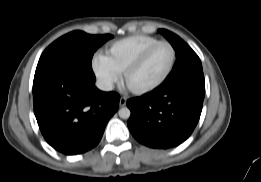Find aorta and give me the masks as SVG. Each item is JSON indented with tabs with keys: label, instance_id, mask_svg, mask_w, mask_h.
Listing matches in <instances>:
<instances>
[{
	"label": "aorta",
	"instance_id": "762f6f07",
	"mask_svg": "<svg viewBox=\"0 0 261 182\" xmlns=\"http://www.w3.org/2000/svg\"><path fill=\"white\" fill-rule=\"evenodd\" d=\"M119 117L122 119H128L131 115L129 108L123 107L119 110Z\"/></svg>",
	"mask_w": 261,
	"mask_h": 182
}]
</instances>
